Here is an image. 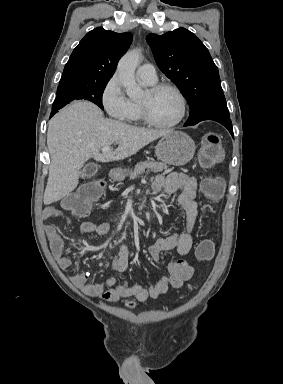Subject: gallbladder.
<instances>
[{
  "label": "gallbladder",
  "instance_id": "bac80fb5",
  "mask_svg": "<svg viewBox=\"0 0 283 384\" xmlns=\"http://www.w3.org/2000/svg\"><path fill=\"white\" fill-rule=\"evenodd\" d=\"M86 172L83 170L81 172L82 176H87V177H96L97 176V171H98V166L97 165H88L86 167Z\"/></svg>",
  "mask_w": 283,
  "mask_h": 384
}]
</instances>
